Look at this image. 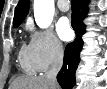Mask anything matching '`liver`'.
<instances>
[{"mask_svg":"<svg viewBox=\"0 0 107 89\" xmlns=\"http://www.w3.org/2000/svg\"><path fill=\"white\" fill-rule=\"evenodd\" d=\"M9 89H57L43 76L23 75L14 79Z\"/></svg>","mask_w":107,"mask_h":89,"instance_id":"1","label":"liver"}]
</instances>
